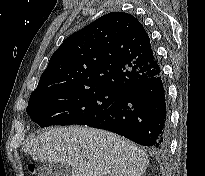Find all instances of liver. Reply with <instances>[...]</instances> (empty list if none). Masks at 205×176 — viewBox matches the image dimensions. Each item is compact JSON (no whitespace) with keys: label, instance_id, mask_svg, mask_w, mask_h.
Returning a JSON list of instances; mask_svg holds the SVG:
<instances>
[{"label":"liver","instance_id":"liver-1","mask_svg":"<svg viewBox=\"0 0 205 176\" xmlns=\"http://www.w3.org/2000/svg\"><path fill=\"white\" fill-rule=\"evenodd\" d=\"M23 151L39 162L71 166V176H142L149 165L148 155L133 142L89 127L49 128Z\"/></svg>","mask_w":205,"mask_h":176}]
</instances>
